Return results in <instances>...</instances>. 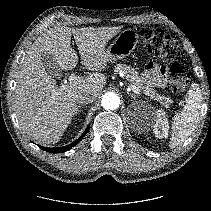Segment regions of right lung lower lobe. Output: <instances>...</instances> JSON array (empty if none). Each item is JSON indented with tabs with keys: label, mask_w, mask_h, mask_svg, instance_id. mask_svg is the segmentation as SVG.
I'll list each match as a JSON object with an SVG mask.
<instances>
[{
	"label": "right lung lower lobe",
	"mask_w": 211,
	"mask_h": 211,
	"mask_svg": "<svg viewBox=\"0 0 211 211\" xmlns=\"http://www.w3.org/2000/svg\"><path fill=\"white\" fill-rule=\"evenodd\" d=\"M90 126H87L86 130L83 132V134L77 139L75 140L73 143L67 145V146H63V147H57V148H47V147H42L40 146L41 149L50 152V153H63L66 152L67 150L71 149L72 147H74L76 144H78L82 138L86 135V133L88 132Z\"/></svg>",
	"instance_id": "98d812e1"
}]
</instances>
